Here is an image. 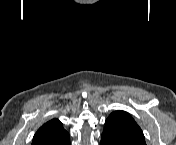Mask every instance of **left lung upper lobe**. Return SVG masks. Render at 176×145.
<instances>
[{"mask_svg":"<svg viewBox=\"0 0 176 145\" xmlns=\"http://www.w3.org/2000/svg\"><path fill=\"white\" fill-rule=\"evenodd\" d=\"M102 136L114 145H146L142 130L125 111H114L105 121Z\"/></svg>","mask_w":176,"mask_h":145,"instance_id":"left-lung-upper-lobe-1","label":"left lung upper lobe"}]
</instances>
